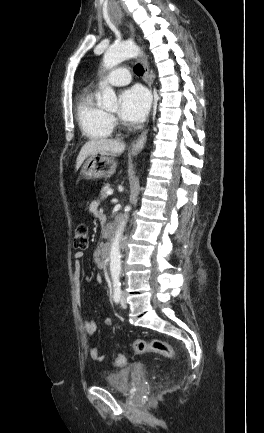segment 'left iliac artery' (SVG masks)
I'll return each instance as SVG.
<instances>
[{
    "label": "left iliac artery",
    "instance_id": "left-iliac-artery-1",
    "mask_svg": "<svg viewBox=\"0 0 264 433\" xmlns=\"http://www.w3.org/2000/svg\"><path fill=\"white\" fill-rule=\"evenodd\" d=\"M121 296V282L119 278H113V299L116 303L119 302Z\"/></svg>",
    "mask_w": 264,
    "mask_h": 433
}]
</instances>
